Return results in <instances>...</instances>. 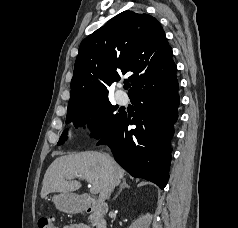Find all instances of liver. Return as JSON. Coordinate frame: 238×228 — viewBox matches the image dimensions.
<instances>
[{"label": "liver", "mask_w": 238, "mask_h": 228, "mask_svg": "<svg viewBox=\"0 0 238 228\" xmlns=\"http://www.w3.org/2000/svg\"><path fill=\"white\" fill-rule=\"evenodd\" d=\"M124 170L113 160L108 163L105 154L87 151L56 158L48 167L41 189V198L52 192H72L81 187L77 178H89L99 191V201L106 200L109 187L118 185Z\"/></svg>", "instance_id": "obj_1"}]
</instances>
